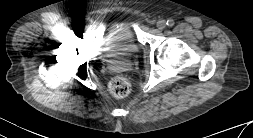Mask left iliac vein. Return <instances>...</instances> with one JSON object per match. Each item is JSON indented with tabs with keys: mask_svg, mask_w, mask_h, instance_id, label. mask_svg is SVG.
<instances>
[{
	"mask_svg": "<svg viewBox=\"0 0 253 138\" xmlns=\"http://www.w3.org/2000/svg\"><path fill=\"white\" fill-rule=\"evenodd\" d=\"M165 27H166V22H165L164 20H159V21L157 22V28H158L159 30H163Z\"/></svg>",
	"mask_w": 253,
	"mask_h": 138,
	"instance_id": "4c4485c4",
	"label": "left iliac vein"
}]
</instances>
